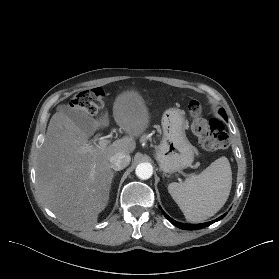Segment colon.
I'll use <instances>...</instances> for the list:
<instances>
[{
    "label": "colon",
    "instance_id": "5ec220e1",
    "mask_svg": "<svg viewBox=\"0 0 279 279\" xmlns=\"http://www.w3.org/2000/svg\"><path fill=\"white\" fill-rule=\"evenodd\" d=\"M104 96L101 88L88 89L78 93L71 105L86 114H95L103 107ZM188 109L192 118L191 130L206 149L217 150L228 146V135L221 121L207 119L198 101H191Z\"/></svg>",
    "mask_w": 279,
    "mask_h": 279
}]
</instances>
